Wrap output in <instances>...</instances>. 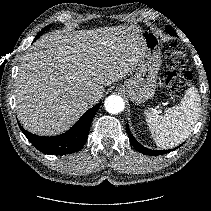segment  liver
<instances>
[{
    "instance_id": "liver-1",
    "label": "liver",
    "mask_w": 211,
    "mask_h": 211,
    "mask_svg": "<svg viewBox=\"0 0 211 211\" xmlns=\"http://www.w3.org/2000/svg\"><path fill=\"white\" fill-rule=\"evenodd\" d=\"M142 48L134 26L51 32L22 57L15 79L20 123L34 134L58 135L91 106L87 94L103 96L104 86L136 70Z\"/></svg>"
}]
</instances>
